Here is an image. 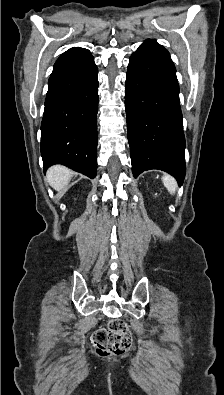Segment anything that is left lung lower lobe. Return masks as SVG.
<instances>
[{"instance_id": "obj_1", "label": "left lung lower lobe", "mask_w": 224, "mask_h": 395, "mask_svg": "<svg viewBox=\"0 0 224 395\" xmlns=\"http://www.w3.org/2000/svg\"><path fill=\"white\" fill-rule=\"evenodd\" d=\"M125 109L132 172L149 169L185 177V138L176 69L169 52L146 40L130 57Z\"/></svg>"}]
</instances>
